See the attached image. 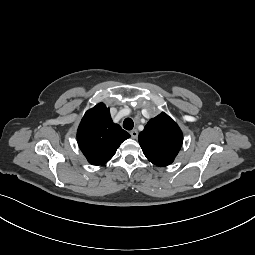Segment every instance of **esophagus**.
<instances>
[{
	"instance_id": "1",
	"label": "esophagus",
	"mask_w": 255,
	"mask_h": 255,
	"mask_svg": "<svg viewBox=\"0 0 255 255\" xmlns=\"http://www.w3.org/2000/svg\"><path fill=\"white\" fill-rule=\"evenodd\" d=\"M130 135L132 138L136 139L138 137V131L134 129L130 132Z\"/></svg>"
}]
</instances>
